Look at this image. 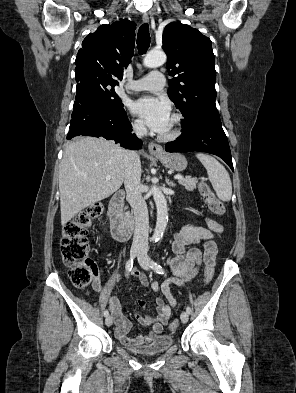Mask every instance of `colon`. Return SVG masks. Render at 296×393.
I'll use <instances>...</instances> for the list:
<instances>
[{
    "label": "colon",
    "mask_w": 296,
    "mask_h": 393,
    "mask_svg": "<svg viewBox=\"0 0 296 393\" xmlns=\"http://www.w3.org/2000/svg\"><path fill=\"white\" fill-rule=\"evenodd\" d=\"M198 187L210 211L218 216L223 215L226 210L225 205L216 198L207 183L202 180ZM102 211V205L94 203L76 214L63 227L60 252L63 262L69 268L70 280L77 288L88 287L97 273L96 265L88 257L87 234L93 221L101 215ZM213 276L214 265L208 263L204 270V283H210ZM177 326L178 321L174 320L169 327L174 331Z\"/></svg>",
    "instance_id": "colon-1"
}]
</instances>
